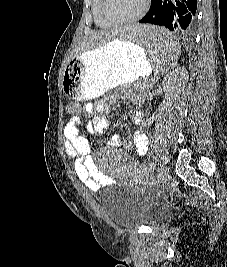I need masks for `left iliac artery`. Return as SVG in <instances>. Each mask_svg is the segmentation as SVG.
<instances>
[{
  "label": "left iliac artery",
  "instance_id": "1",
  "mask_svg": "<svg viewBox=\"0 0 227 267\" xmlns=\"http://www.w3.org/2000/svg\"><path fill=\"white\" fill-rule=\"evenodd\" d=\"M152 167L154 168V163L151 164V168H152Z\"/></svg>",
  "mask_w": 227,
  "mask_h": 267
}]
</instances>
